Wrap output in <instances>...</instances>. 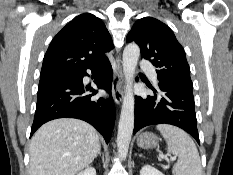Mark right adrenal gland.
<instances>
[{
	"instance_id": "1",
	"label": "right adrenal gland",
	"mask_w": 233,
	"mask_h": 175,
	"mask_svg": "<svg viewBox=\"0 0 233 175\" xmlns=\"http://www.w3.org/2000/svg\"><path fill=\"white\" fill-rule=\"evenodd\" d=\"M98 155L101 156V146L99 147Z\"/></svg>"
}]
</instances>
